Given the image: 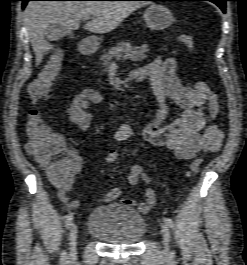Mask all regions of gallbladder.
I'll return each instance as SVG.
<instances>
[{
    "label": "gallbladder",
    "instance_id": "obj_1",
    "mask_svg": "<svg viewBox=\"0 0 247 265\" xmlns=\"http://www.w3.org/2000/svg\"><path fill=\"white\" fill-rule=\"evenodd\" d=\"M70 34L71 32L68 28L57 24L48 26V28L45 31V37L49 41H58L64 38L66 35Z\"/></svg>",
    "mask_w": 247,
    "mask_h": 265
}]
</instances>
